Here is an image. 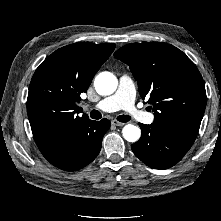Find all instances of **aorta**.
Wrapping results in <instances>:
<instances>
[{"label": "aorta", "mask_w": 221, "mask_h": 221, "mask_svg": "<svg viewBox=\"0 0 221 221\" xmlns=\"http://www.w3.org/2000/svg\"><path fill=\"white\" fill-rule=\"evenodd\" d=\"M117 85V78L112 73L106 71L99 73L94 81L95 89L100 95L113 94L117 89ZM122 133L124 139L129 142H136L141 136L140 128L132 124L125 125Z\"/></svg>", "instance_id": "1"}]
</instances>
